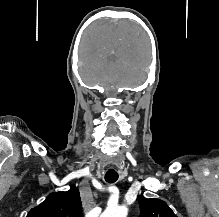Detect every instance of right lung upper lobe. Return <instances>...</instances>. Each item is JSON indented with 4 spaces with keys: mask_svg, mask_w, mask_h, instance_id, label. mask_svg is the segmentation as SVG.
<instances>
[{
    "mask_svg": "<svg viewBox=\"0 0 219 217\" xmlns=\"http://www.w3.org/2000/svg\"><path fill=\"white\" fill-rule=\"evenodd\" d=\"M27 217H82L79 190L73 186L67 192L50 194L39 206L31 209Z\"/></svg>",
    "mask_w": 219,
    "mask_h": 217,
    "instance_id": "right-lung-upper-lobe-1",
    "label": "right lung upper lobe"
}]
</instances>
